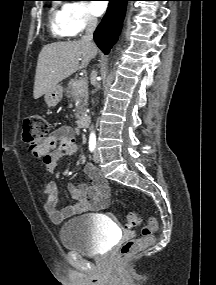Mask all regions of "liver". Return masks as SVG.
Returning <instances> with one entry per match:
<instances>
[{"instance_id": "6515ba94", "label": "liver", "mask_w": 216, "mask_h": 285, "mask_svg": "<svg viewBox=\"0 0 216 285\" xmlns=\"http://www.w3.org/2000/svg\"><path fill=\"white\" fill-rule=\"evenodd\" d=\"M97 53L96 47L81 40L45 45L38 57L33 97L40 98L79 69ZM81 60V65L79 61Z\"/></svg>"}]
</instances>
